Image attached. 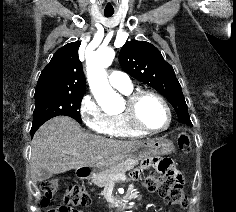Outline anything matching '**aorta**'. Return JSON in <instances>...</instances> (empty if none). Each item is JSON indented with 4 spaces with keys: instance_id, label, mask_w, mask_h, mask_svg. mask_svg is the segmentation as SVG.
Returning <instances> with one entry per match:
<instances>
[{
    "instance_id": "762f6f07",
    "label": "aorta",
    "mask_w": 236,
    "mask_h": 212,
    "mask_svg": "<svg viewBox=\"0 0 236 212\" xmlns=\"http://www.w3.org/2000/svg\"><path fill=\"white\" fill-rule=\"evenodd\" d=\"M115 57L112 49H100L86 55V70L90 89L103 109L118 107L122 103L121 96L109 85L105 68L109 67Z\"/></svg>"
}]
</instances>
